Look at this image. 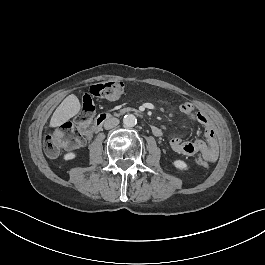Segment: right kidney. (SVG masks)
Masks as SVG:
<instances>
[{"instance_id": "obj_1", "label": "right kidney", "mask_w": 265, "mask_h": 265, "mask_svg": "<svg viewBox=\"0 0 265 265\" xmlns=\"http://www.w3.org/2000/svg\"><path fill=\"white\" fill-rule=\"evenodd\" d=\"M76 158H77V153L74 151L66 152L62 156V160L65 162H68V161L76 159Z\"/></svg>"}]
</instances>
